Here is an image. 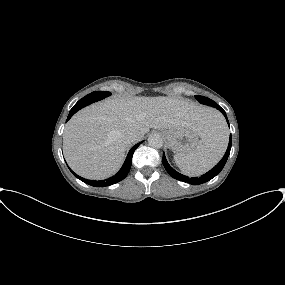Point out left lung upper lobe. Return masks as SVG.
Masks as SVG:
<instances>
[{
  "label": "left lung upper lobe",
  "instance_id": "1",
  "mask_svg": "<svg viewBox=\"0 0 285 285\" xmlns=\"http://www.w3.org/2000/svg\"><path fill=\"white\" fill-rule=\"evenodd\" d=\"M195 98L200 103H202L204 105L212 106V107H215V108H217V106H219L217 103H215L213 100H211V99H209L207 97L196 95Z\"/></svg>",
  "mask_w": 285,
  "mask_h": 285
}]
</instances>
